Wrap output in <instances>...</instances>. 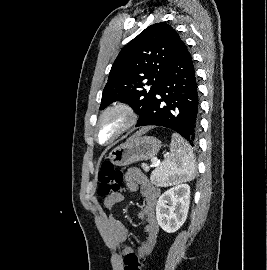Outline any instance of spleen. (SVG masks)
<instances>
[{"instance_id": "1", "label": "spleen", "mask_w": 267, "mask_h": 270, "mask_svg": "<svg viewBox=\"0 0 267 270\" xmlns=\"http://www.w3.org/2000/svg\"><path fill=\"white\" fill-rule=\"evenodd\" d=\"M195 158L189 144L177 133L172 134L170 153L155 170L157 185L170 186L195 178Z\"/></svg>"}]
</instances>
